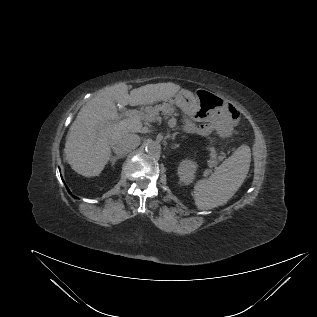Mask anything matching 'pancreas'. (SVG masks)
<instances>
[{"instance_id":"1","label":"pancreas","mask_w":317,"mask_h":317,"mask_svg":"<svg viewBox=\"0 0 317 317\" xmlns=\"http://www.w3.org/2000/svg\"><path fill=\"white\" fill-rule=\"evenodd\" d=\"M160 111H162L163 114L172 116L175 112V109L168 103L156 105L155 107H147L144 114L145 119L147 121H153L154 119H157ZM220 159H222V157H218L216 151L211 149L208 165L210 167L216 166Z\"/></svg>"}]
</instances>
